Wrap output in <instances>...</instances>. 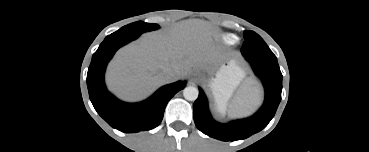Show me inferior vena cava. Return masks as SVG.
I'll list each match as a JSON object with an SVG mask.
<instances>
[{
  "instance_id": "1",
  "label": "inferior vena cava",
  "mask_w": 369,
  "mask_h": 152,
  "mask_svg": "<svg viewBox=\"0 0 369 152\" xmlns=\"http://www.w3.org/2000/svg\"><path fill=\"white\" fill-rule=\"evenodd\" d=\"M165 73L169 77H173L176 74V70L173 68H167L165 69Z\"/></svg>"
}]
</instances>
